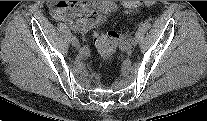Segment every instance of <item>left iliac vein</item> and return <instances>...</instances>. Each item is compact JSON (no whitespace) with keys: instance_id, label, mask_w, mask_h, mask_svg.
Returning <instances> with one entry per match:
<instances>
[{"instance_id":"left-iliac-vein-1","label":"left iliac vein","mask_w":207,"mask_h":121,"mask_svg":"<svg viewBox=\"0 0 207 121\" xmlns=\"http://www.w3.org/2000/svg\"><path fill=\"white\" fill-rule=\"evenodd\" d=\"M132 45H133V44H131V43H126L125 46H124V48H125L126 50H129V49L132 48Z\"/></svg>"}]
</instances>
